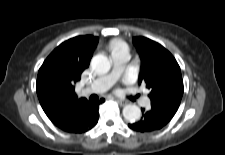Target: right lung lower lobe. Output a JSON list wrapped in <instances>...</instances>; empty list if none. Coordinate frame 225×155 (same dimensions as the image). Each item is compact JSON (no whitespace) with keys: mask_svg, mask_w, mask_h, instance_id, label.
Segmentation results:
<instances>
[{"mask_svg":"<svg viewBox=\"0 0 225 155\" xmlns=\"http://www.w3.org/2000/svg\"><path fill=\"white\" fill-rule=\"evenodd\" d=\"M102 102H104V99L93 103L87 101L77 107L70 108L53 123L66 132L84 133L98 122V107Z\"/></svg>","mask_w":225,"mask_h":155,"instance_id":"1","label":"right lung lower lobe"}]
</instances>
